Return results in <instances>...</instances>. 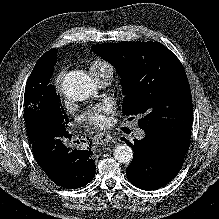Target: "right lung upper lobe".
I'll return each instance as SVG.
<instances>
[{"instance_id": "obj_1", "label": "right lung upper lobe", "mask_w": 219, "mask_h": 219, "mask_svg": "<svg viewBox=\"0 0 219 219\" xmlns=\"http://www.w3.org/2000/svg\"><path fill=\"white\" fill-rule=\"evenodd\" d=\"M48 52H52V53L55 54V56H57V49H51V50H49ZM48 52H46V53H48Z\"/></svg>"}]
</instances>
